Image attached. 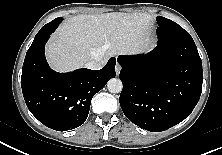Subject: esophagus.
Returning a JSON list of instances; mask_svg holds the SVG:
<instances>
[{"label":"esophagus","mask_w":222,"mask_h":155,"mask_svg":"<svg viewBox=\"0 0 222 155\" xmlns=\"http://www.w3.org/2000/svg\"><path fill=\"white\" fill-rule=\"evenodd\" d=\"M115 70H116V74L119 75L121 66L118 63L116 64Z\"/></svg>","instance_id":"34e87169"}]
</instances>
